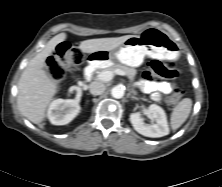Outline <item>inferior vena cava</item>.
Masks as SVG:
<instances>
[{"mask_svg": "<svg viewBox=\"0 0 222 187\" xmlns=\"http://www.w3.org/2000/svg\"><path fill=\"white\" fill-rule=\"evenodd\" d=\"M89 89L90 93L96 96L101 95L105 91L106 87L102 82L95 81L90 84Z\"/></svg>", "mask_w": 222, "mask_h": 187, "instance_id": "1", "label": "inferior vena cava"}]
</instances>
